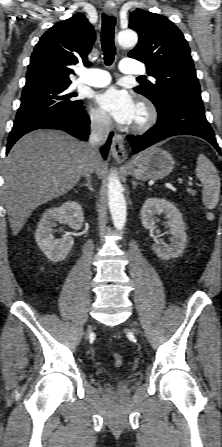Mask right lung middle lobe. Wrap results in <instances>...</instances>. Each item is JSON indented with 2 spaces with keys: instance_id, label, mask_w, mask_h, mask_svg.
I'll list each match as a JSON object with an SVG mask.
<instances>
[{
  "instance_id": "1",
  "label": "right lung middle lobe",
  "mask_w": 222,
  "mask_h": 447,
  "mask_svg": "<svg viewBox=\"0 0 222 447\" xmlns=\"http://www.w3.org/2000/svg\"><path fill=\"white\" fill-rule=\"evenodd\" d=\"M69 85L42 87L24 90L21 97V105L15 120H23L45 113L82 104L76 100L74 93H69Z\"/></svg>"
}]
</instances>
